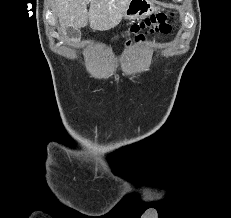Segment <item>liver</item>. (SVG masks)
Masks as SVG:
<instances>
[{
	"instance_id": "1",
	"label": "liver",
	"mask_w": 231,
	"mask_h": 218,
	"mask_svg": "<svg viewBox=\"0 0 231 218\" xmlns=\"http://www.w3.org/2000/svg\"><path fill=\"white\" fill-rule=\"evenodd\" d=\"M130 0H54L61 32L69 27L79 29L88 22L94 30H108L118 25ZM90 9L87 10V4Z\"/></svg>"
}]
</instances>
